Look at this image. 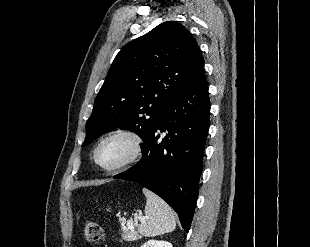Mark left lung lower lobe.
<instances>
[{
	"label": "left lung lower lobe",
	"mask_w": 310,
	"mask_h": 247,
	"mask_svg": "<svg viewBox=\"0 0 310 247\" xmlns=\"http://www.w3.org/2000/svg\"><path fill=\"white\" fill-rule=\"evenodd\" d=\"M208 83L202 69L165 108L142 146L141 161L114 178L137 182L165 200L188 232L209 129ZM160 132L167 131L161 142Z\"/></svg>",
	"instance_id": "0a47b994"
}]
</instances>
